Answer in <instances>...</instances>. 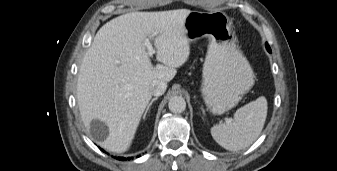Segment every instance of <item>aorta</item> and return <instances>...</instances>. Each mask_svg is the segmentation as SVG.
I'll return each instance as SVG.
<instances>
[{"mask_svg":"<svg viewBox=\"0 0 337 171\" xmlns=\"http://www.w3.org/2000/svg\"><path fill=\"white\" fill-rule=\"evenodd\" d=\"M168 107L173 113H182L186 109V101L181 96H173L169 100Z\"/></svg>","mask_w":337,"mask_h":171,"instance_id":"1","label":"aorta"}]
</instances>
